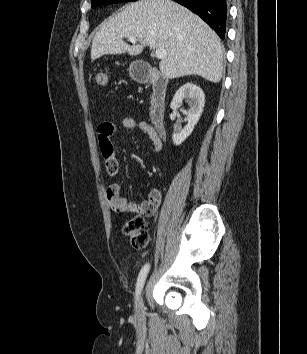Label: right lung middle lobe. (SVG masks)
Wrapping results in <instances>:
<instances>
[{"instance_id":"dd1d6c3e","label":"right lung middle lobe","mask_w":307,"mask_h":354,"mask_svg":"<svg viewBox=\"0 0 307 354\" xmlns=\"http://www.w3.org/2000/svg\"><path fill=\"white\" fill-rule=\"evenodd\" d=\"M130 1H137V0H92V8L100 6L101 4H113L119 2H130Z\"/></svg>"}]
</instances>
